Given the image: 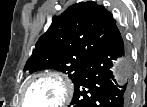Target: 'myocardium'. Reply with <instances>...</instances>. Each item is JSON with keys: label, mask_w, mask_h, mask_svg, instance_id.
I'll return each instance as SVG.
<instances>
[{"label": "myocardium", "mask_w": 147, "mask_h": 107, "mask_svg": "<svg viewBox=\"0 0 147 107\" xmlns=\"http://www.w3.org/2000/svg\"><path fill=\"white\" fill-rule=\"evenodd\" d=\"M43 80H52L56 82L60 89H61V98L58 102H56L51 107H63L65 106L71 99L72 93H73V86L71 82L61 73L56 71H45L41 72L35 76H33L23 87L21 92V102L23 104L26 103V95L29 90V88L38 81Z\"/></svg>", "instance_id": "myocardium-1"}]
</instances>
